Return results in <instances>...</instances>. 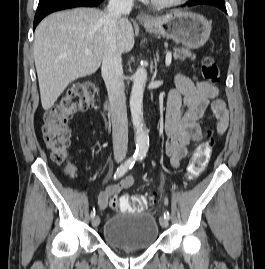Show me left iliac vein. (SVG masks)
<instances>
[{"mask_svg": "<svg viewBox=\"0 0 265 269\" xmlns=\"http://www.w3.org/2000/svg\"><path fill=\"white\" fill-rule=\"evenodd\" d=\"M159 222H160V225L163 227V228H167L169 223H168V220L164 217H161L159 219Z\"/></svg>", "mask_w": 265, "mask_h": 269, "instance_id": "4c4485c4", "label": "left iliac vein"}]
</instances>
